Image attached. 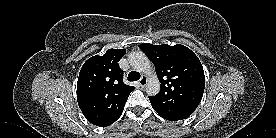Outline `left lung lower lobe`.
Segmentation results:
<instances>
[{
	"mask_svg": "<svg viewBox=\"0 0 276 138\" xmlns=\"http://www.w3.org/2000/svg\"><path fill=\"white\" fill-rule=\"evenodd\" d=\"M164 119H167V120H172V121H177L175 119H169V118H166V117H163Z\"/></svg>",
	"mask_w": 276,
	"mask_h": 138,
	"instance_id": "1",
	"label": "left lung lower lobe"
}]
</instances>
